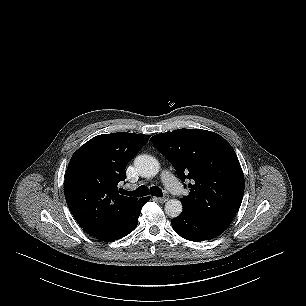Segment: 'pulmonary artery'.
<instances>
[{"label": "pulmonary artery", "instance_id": "e3ab8cb5", "mask_svg": "<svg viewBox=\"0 0 306 306\" xmlns=\"http://www.w3.org/2000/svg\"><path fill=\"white\" fill-rule=\"evenodd\" d=\"M162 181L166 185L169 191L178 194L181 190L180 183L176 177L168 170H165L161 174Z\"/></svg>", "mask_w": 306, "mask_h": 306}]
</instances>
